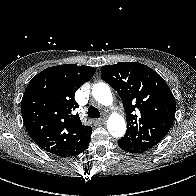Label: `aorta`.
Masks as SVG:
<instances>
[{
    "label": "aorta",
    "mask_w": 196,
    "mask_h": 196,
    "mask_svg": "<svg viewBox=\"0 0 196 196\" xmlns=\"http://www.w3.org/2000/svg\"><path fill=\"white\" fill-rule=\"evenodd\" d=\"M92 95L98 103L104 106H110L113 102L110 87L106 83L94 84L92 86ZM107 130L114 137H122L126 132L124 118L117 113H113L107 121Z\"/></svg>",
    "instance_id": "obj_1"
}]
</instances>
